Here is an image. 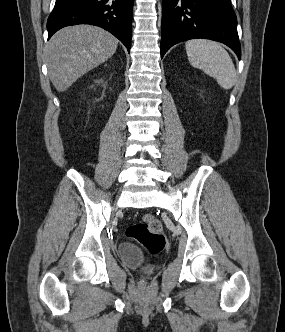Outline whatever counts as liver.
I'll list each match as a JSON object with an SVG mask.
<instances>
[{
  "label": "liver",
  "instance_id": "liver-1",
  "mask_svg": "<svg viewBox=\"0 0 285 332\" xmlns=\"http://www.w3.org/2000/svg\"><path fill=\"white\" fill-rule=\"evenodd\" d=\"M118 40L104 29L92 25H74L59 30L47 48V66L51 82L59 92L107 61L116 52Z\"/></svg>",
  "mask_w": 285,
  "mask_h": 332
}]
</instances>
